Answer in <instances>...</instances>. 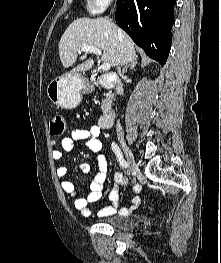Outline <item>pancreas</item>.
Returning a JSON list of instances; mask_svg holds the SVG:
<instances>
[{
	"label": "pancreas",
	"instance_id": "obj_1",
	"mask_svg": "<svg viewBox=\"0 0 221 263\" xmlns=\"http://www.w3.org/2000/svg\"><path fill=\"white\" fill-rule=\"evenodd\" d=\"M93 84H95L96 86L99 85V83L97 81H93ZM111 98V96H107V98L104 100V102L101 105V109L103 110L105 108L106 102Z\"/></svg>",
	"mask_w": 221,
	"mask_h": 263
}]
</instances>
